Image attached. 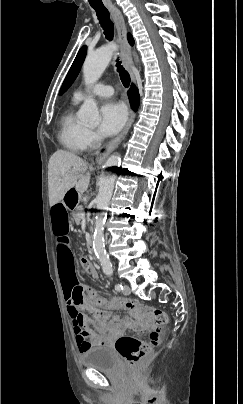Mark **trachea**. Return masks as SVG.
Listing matches in <instances>:
<instances>
[{
    "instance_id": "obj_1",
    "label": "trachea",
    "mask_w": 243,
    "mask_h": 404,
    "mask_svg": "<svg viewBox=\"0 0 243 404\" xmlns=\"http://www.w3.org/2000/svg\"><path fill=\"white\" fill-rule=\"evenodd\" d=\"M96 11L99 23L103 29L104 35L107 40L111 41L113 40L114 37V24L110 20V14L109 11L107 10L106 7L104 6H99V7H92ZM116 68L119 73L120 79L122 81V84L124 87H129L130 84V75L129 73L124 69V67L121 64V61L119 57L116 59Z\"/></svg>"
}]
</instances>
